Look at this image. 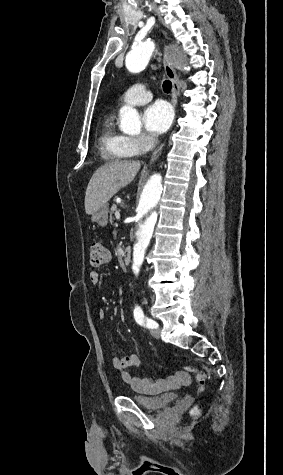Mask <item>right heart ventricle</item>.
<instances>
[{
    "instance_id": "e07e8e85",
    "label": "right heart ventricle",
    "mask_w": 283,
    "mask_h": 475,
    "mask_svg": "<svg viewBox=\"0 0 283 475\" xmlns=\"http://www.w3.org/2000/svg\"><path fill=\"white\" fill-rule=\"evenodd\" d=\"M125 137L122 135L112 116L106 117L100 125L99 145L107 160H124L128 154L124 147Z\"/></svg>"
}]
</instances>
